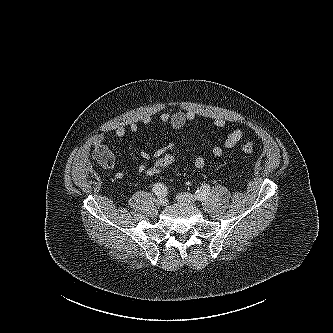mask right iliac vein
<instances>
[{
	"mask_svg": "<svg viewBox=\"0 0 333 333\" xmlns=\"http://www.w3.org/2000/svg\"><path fill=\"white\" fill-rule=\"evenodd\" d=\"M168 203V200L165 197H159L157 200V204L160 206H166Z\"/></svg>",
	"mask_w": 333,
	"mask_h": 333,
	"instance_id": "right-iliac-vein-1",
	"label": "right iliac vein"
}]
</instances>
